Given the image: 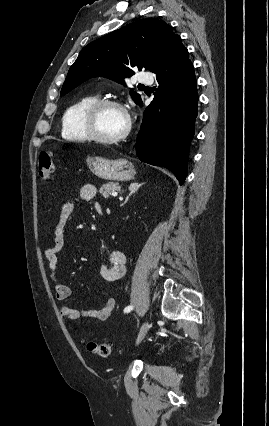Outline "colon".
Masks as SVG:
<instances>
[{
	"mask_svg": "<svg viewBox=\"0 0 269 426\" xmlns=\"http://www.w3.org/2000/svg\"><path fill=\"white\" fill-rule=\"evenodd\" d=\"M38 171L41 178L47 180L52 177L55 171V164L53 154L49 151L40 153ZM87 350L95 355L106 357L111 354L112 345L110 343H97L94 341H88L86 344Z\"/></svg>",
	"mask_w": 269,
	"mask_h": 426,
	"instance_id": "colon-1",
	"label": "colon"
}]
</instances>
